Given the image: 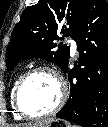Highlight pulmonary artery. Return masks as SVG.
Listing matches in <instances>:
<instances>
[{
    "label": "pulmonary artery",
    "mask_w": 108,
    "mask_h": 127,
    "mask_svg": "<svg viewBox=\"0 0 108 127\" xmlns=\"http://www.w3.org/2000/svg\"><path fill=\"white\" fill-rule=\"evenodd\" d=\"M69 42L71 45V53L75 54L77 51V44H76L75 40H73V39H70Z\"/></svg>",
    "instance_id": "obj_1"
}]
</instances>
